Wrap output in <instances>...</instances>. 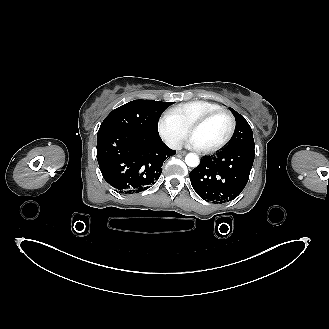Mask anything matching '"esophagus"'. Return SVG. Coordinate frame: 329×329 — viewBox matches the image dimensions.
I'll list each match as a JSON object with an SVG mask.
<instances>
[{"instance_id": "1", "label": "esophagus", "mask_w": 329, "mask_h": 329, "mask_svg": "<svg viewBox=\"0 0 329 329\" xmlns=\"http://www.w3.org/2000/svg\"><path fill=\"white\" fill-rule=\"evenodd\" d=\"M187 152L186 151H179L178 154L185 155Z\"/></svg>"}]
</instances>
